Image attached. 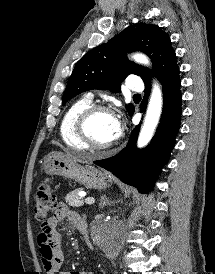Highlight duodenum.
I'll list each match as a JSON object with an SVG mask.
<instances>
[{"label": "duodenum", "mask_w": 215, "mask_h": 274, "mask_svg": "<svg viewBox=\"0 0 215 274\" xmlns=\"http://www.w3.org/2000/svg\"><path fill=\"white\" fill-rule=\"evenodd\" d=\"M80 232L83 235L86 243L88 245H91V241H90V237H89V233H88L87 227H84L83 229H81Z\"/></svg>", "instance_id": "obj_1"}]
</instances>
